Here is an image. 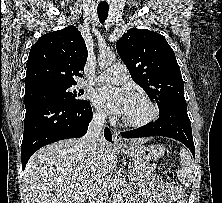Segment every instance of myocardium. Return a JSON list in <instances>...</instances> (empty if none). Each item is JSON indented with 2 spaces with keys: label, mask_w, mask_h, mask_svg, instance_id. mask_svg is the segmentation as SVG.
Listing matches in <instances>:
<instances>
[{
  "label": "myocardium",
  "mask_w": 222,
  "mask_h": 203,
  "mask_svg": "<svg viewBox=\"0 0 222 203\" xmlns=\"http://www.w3.org/2000/svg\"><path fill=\"white\" fill-rule=\"evenodd\" d=\"M131 97L143 100L150 107L151 112L148 117L139 121H132L123 117L122 121L126 126L132 128H141L151 124L159 117V108L149 96L144 93H133Z\"/></svg>",
  "instance_id": "1"
}]
</instances>
